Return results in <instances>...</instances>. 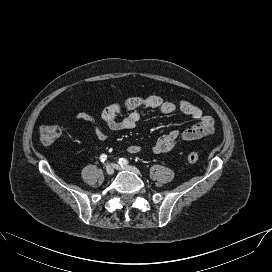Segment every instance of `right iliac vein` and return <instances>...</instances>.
<instances>
[{"label": "right iliac vein", "instance_id": "right-iliac-vein-1", "mask_svg": "<svg viewBox=\"0 0 272 272\" xmlns=\"http://www.w3.org/2000/svg\"><path fill=\"white\" fill-rule=\"evenodd\" d=\"M105 172H106V174H108V175H113V173H114V168L112 167V165L107 164L106 167H105Z\"/></svg>", "mask_w": 272, "mask_h": 272}]
</instances>
